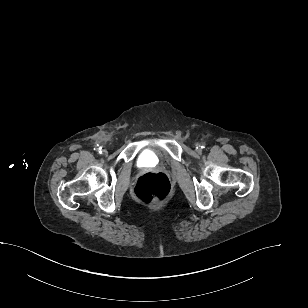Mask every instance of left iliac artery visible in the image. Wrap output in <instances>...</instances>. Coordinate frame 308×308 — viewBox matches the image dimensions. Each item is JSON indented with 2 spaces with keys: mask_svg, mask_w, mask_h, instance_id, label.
<instances>
[{
  "mask_svg": "<svg viewBox=\"0 0 308 308\" xmlns=\"http://www.w3.org/2000/svg\"><path fill=\"white\" fill-rule=\"evenodd\" d=\"M200 147H201V148H205V145H201Z\"/></svg>",
  "mask_w": 308,
  "mask_h": 308,
  "instance_id": "44dca946",
  "label": "left iliac artery"
}]
</instances>
